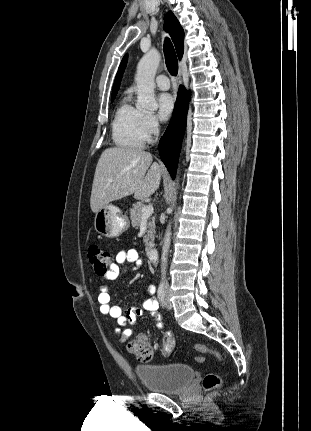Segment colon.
Segmentation results:
<instances>
[{
	"label": "colon",
	"instance_id": "colon-1",
	"mask_svg": "<svg viewBox=\"0 0 311 431\" xmlns=\"http://www.w3.org/2000/svg\"><path fill=\"white\" fill-rule=\"evenodd\" d=\"M88 258L94 271L100 276H105L111 262V254L106 249L98 245H92L88 250ZM171 347L172 345L170 342L164 343L162 346L163 354H167L171 350ZM125 348L128 353L136 356L141 361H150L153 358V349L149 342L142 336H138L127 341ZM194 349L199 353L213 356L218 362H222L223 360L221 354L218 351L206 345L195 344ZM195 361L197 363H203L204 357L197 356L195 357ZM220 385L221 379L215 373L207 374L203 380V387L207 391L217 388Z\"/></svg>",
	"mask_w": 311,
	"mask_h": 431
}]
</instances>
